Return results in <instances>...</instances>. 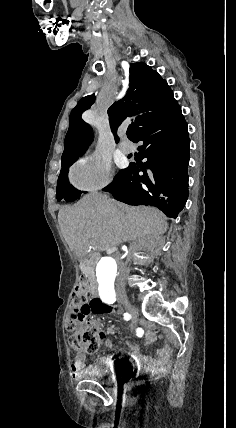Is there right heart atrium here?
I'll use <instances>...</instances> for the list:
<instances>
[{
    "mask_svg": "<svg viewBox=\"0 0 236 428\" xmlns=\"http://www.w3.org/2000/svg\"><path fill=\"white\" fill-rule=\"evenodd\" d=\"M112 181L113 177L107 164L98 158H82L70 171L71 184L83 192L101 190L108 187Z\"/></svg>",
    "mask_w": 236,
    "mask_h": 428,
    "instance_id": "d8ad5b80",
    "label": "right heart atrium"
}]
</instances>
